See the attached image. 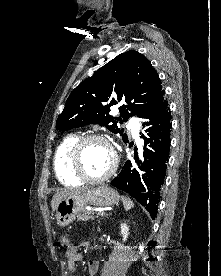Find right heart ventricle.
I'll return each instance as SVG.
<instances>
[{
  "label": "right heart ventricle",
  "instance_id": "e07e8e85",
  "mask_svg": "<svg viewBox=\"0 0 221 276\" xmlns=\"http://www.w3.org/2000/svg\"><path fill=\"white\" fill-rule=\"evenodd\" d=\"M78 137L76 133L68 134L61 140L55 151L54 169L58 179L66 185L74 186L81 182L69 165V151Z\"/></svg>",
  "mask_w": 221,
  "mask_h": 276
}]
</instances>
